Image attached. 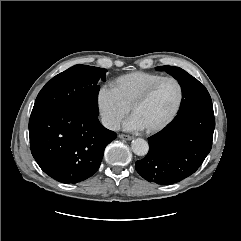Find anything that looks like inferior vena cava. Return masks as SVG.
<instances>
[{"mask_svg":"<svg viewBox=\"0 0 241 241\" xmlns=\"http://www.w3.org/2000/svg\"><path fill=\"white\" fill-rule=\"evenodd\" d=\"M101 121L103 126L106 127L107 129H110L113 131H118L120 129V122L115 118L103 116Z\"/></svg>","mask_w":241,"mask_h":241,"instance_id":"obj_1","label":"inferior vena cava"}]
</instances>
